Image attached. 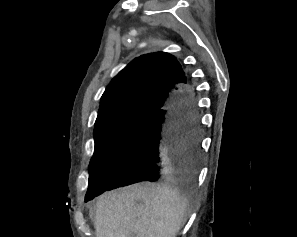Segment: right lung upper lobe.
I'll use <instances>...</instances> for the list:
<instances>
[{"mask_svg": "<svg viewBox=\"0 0 297 237\" xmlns=\"http://www.w3.org/2000/svg\"><path fill=\"white\" fill-rule=\"evenodd\" d=\"M187 78L177 59L166 52L135 58L110 82L101 97L95 127L109 120L153 114L164 108Z\"/></svg>", "mask_w": 297, "mask_h": 237, "instance_id": "cb5924a9", "label": "right lung upper lobe"}]
</instances>
